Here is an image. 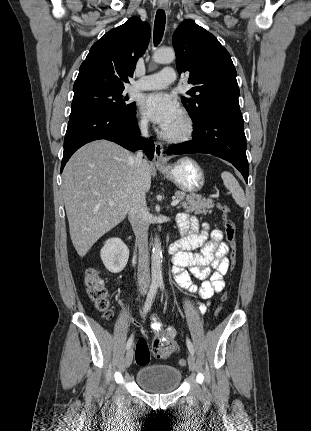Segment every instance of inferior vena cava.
Here are the masks:
<instances>
[{
	"instance_id": "1",
	"label": "inferior vena cava",
	"mask_w": 311,
	"mask_h": 431,
	"mask_svg": "<svg viewBox=\"0 0 311 431\" xmlns=\"http://www.w3.org/2000/svg\"><path fill=\"white\" fill-rule=\"evenodd\" d=\"M140 132L142 138H148V122H146V120L141 122ZM133 160L135 162L133 194L131 196L128 217L136 235L139 249L137 277L140 288L138 289V292L141 295H144L147 292V287L150 285V267L148 247L149 214L147 210L142 174V150H137L136 154L133 156Z\"/></svg>"
}]
</instances>
